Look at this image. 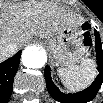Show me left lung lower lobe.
<instances>
[{
    "mask_svg": "<svg viewBox=\"0 0 103 103\" xmlns=\"http://www.w3.org/2000/svg\"><path fill=\"white\" fill-rule=\"evenodd\" d=\"M95 42H96V56L99 75L95 81L85 90L74 94H64L53 84L50 75V68L47 66L44 71L48 92L57 101L62 103H86L91 101L97 94L99 88L103 82V51L101 47L100 37L95 30Z\"/></svg>",
    "mask_w": 103,
    "mask_h": 103,
    "instance_id": "obj_1",
    "label": "left lung lower lobe"
}]
</instances>
